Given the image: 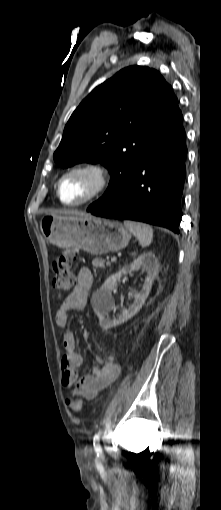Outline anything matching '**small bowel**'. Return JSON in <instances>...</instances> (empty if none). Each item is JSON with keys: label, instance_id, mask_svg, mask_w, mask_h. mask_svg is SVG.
Here are the masks:
<instances>
[{"label": "small bowel", "instance_id": "1", "mask_svg": "<svg viewBox=\"0 0 221 510\" xmlns=\"http://www.w3.org/2000/svg\"><path fill=\"white\" fill-rule=\"evenodd\" d=\"M93 284L91 271L82 267L76 275V283L73 291L64 299L56 313V324L66 327L70 321V311L83 310L87 303L89 291ZM65 355L62 359V381L66 387L76 384L74 394H82L87 399H92L101 390L111 385L119 376L120 369L112 355H95L96 365L90 373L79 377L78 370L83 365V357L76 351V335L69 331L64 335Z\"/></svg>", "mask_w": 221, "mask_h": 510}]
</instances>
